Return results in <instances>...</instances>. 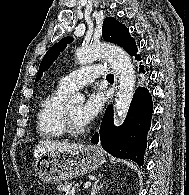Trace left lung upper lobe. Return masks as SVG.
<instances>
[{"instance_id":"5c2ea615","label":"left lung upper lobe","mask_w":189,"mask_h":195,"mask_svg":"<svg viewBox=\"0 0 189 195\" xmlns=\"http://www.w3.org/2000/svg\"><path fill=\"white\" fill-rule=\"evenodd\" d=\"M102 37L108 42L119 45L124 48L131 56H135L136 59L140 58L137 55L138 52L135 41L130 36L128 29L124 24L116 21L114 17H107L103 22ZM73 41L72 37L63 38L58 43L54 44L46 53L39 67V72L36 76V81H38L43 72L46 71L53 62L57 59L60 52L65 49L67 44Z\"/></svg>"}]
</instances>
